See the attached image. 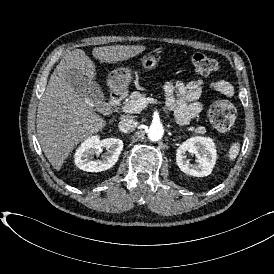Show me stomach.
Wrapping results in <instances>:
<instances>
[{
	"label": "stomach",
	"mask_w": 274,
	"mask_h": 274,
	"mask_svg": "<svg viewBox=\"0 0 274 274\" xmlns=\"http://www.w3.org/2000/svg\"><path fill=\"white\" fill-rule=\"evenodd\" d=\"M159 58L156 54H147L141 59L142 67L145 70H152L158 64ZM131 81L130 73L116 69L112 71L107 78V86L112 92L123 94L127 91Z\"/></svg>",
	"instance_id": "1"
}]
</instances>
